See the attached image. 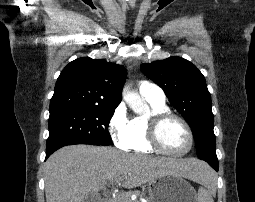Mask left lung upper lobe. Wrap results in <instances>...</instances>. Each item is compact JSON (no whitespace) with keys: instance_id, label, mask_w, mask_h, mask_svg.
Wrapping results in <instances>:
<instances>
[{"instance_id":"1","label":"left lung upper lobe","mask_w":255,"mask_h":202,"mask_svg":"<svg viewBox=\"0 0 255 202\" xmlns=\"http://www.w3.org/2000/svg\"><path fill=\"white\" fill-rule=\"evenodd\" d=\"M140 68L164 90L190 125L198 157L218 161L211 96L202 73L188 60L176 56L142 64Z\"/></svg>"}]
</instances>
